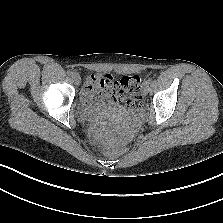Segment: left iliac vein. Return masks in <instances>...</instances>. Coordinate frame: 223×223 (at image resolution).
<instances>
[{"label": "left iliac vein", "mask_w": 223, "mask_h": 223, "mask_svg": "<svg viewBox=\"0 0 223 223\" xmlns=\"http://www.w3.org/2000/svg\"><path fill=\"white\" fill-rule=\"evenodd\" d=\"M149 92V84L144 82L142 85L141 93L145 96Z\"/></svg>", "instance_id": "4c4485c4"}]
</instances>
